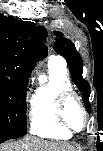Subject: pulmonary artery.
<instances>
[{
  "mask_svg": "<svg viewBox=\"0 0 103 151\" xmlns=\"http://www.w3.org/2000/svg\"><path fill=\"white\" fill-rule=\"evenodd\" d=\"M49 62H55V63H59L61 65L65 66V61L63 58L58 57V56H51L49 59Z\"/></svg>",
  "mask_w": 103,
  "mask_h": 151,
  "instance_id": "1",
  "label": "pulmonary artery"
}]
</instances>
